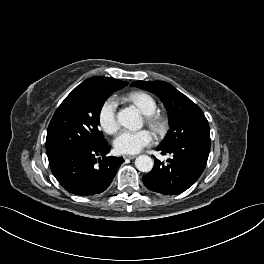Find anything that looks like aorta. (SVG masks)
<instances>
[{
  "label": "aorta",
  "instance_id": "1",
  "mask_svg": "<svg viewBox=\"0 0 264 264\" xmlns=\"http://www.w3.org/2000/svg\"><path fill=\"white\" fill-rule=\"evenodd\" d=\"M117 121L130 130H139L143 125L138 111L132 107L120 110L117 114ZM153 165L154 162L148 155H140L135 160V166L141 172H150Z\"/></svg>",
  "mask_w": 264,
  "mask_h": 264
}]
</instances>
